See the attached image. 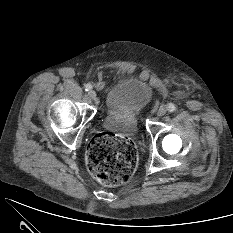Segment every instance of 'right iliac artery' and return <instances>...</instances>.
I'll return each mask as SVG.
<instances>
[{
    "instance_id": "right-iliac-artery-1",
    "label": "right iliac artery",
    "mask_w": 233,
    "mask_h": 233,
    "mask_svg": "<svg viewBox=\"0 0 233 233\" xmlns=\"http://www.w3.org/2000/svg\"><path fill=\"white\" fill-rule=\"evenodd\" d=\"M91 89H92L91 84H86V85H85V90H86V91H90Z\"/></svg>"
}]
</instances>
